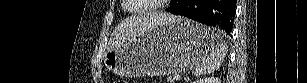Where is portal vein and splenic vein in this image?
Wrapping results in <instances>:
<instances>
[{"instance_id":"18ae733b","label":"portal vein and splenic vein","mask_w":307,"mask_h":83,"mask_svg":"<svg viewBox=\"0 0 307 83\" xmlns=\"http://www.w3.org/2000/svg\"><path fill=\"white\" fill-rule=\"evenodd\" d=\"M174 79L175 80H179L180 79V75L179 74L174 75Z\"/></svg>"}]
</instances>
